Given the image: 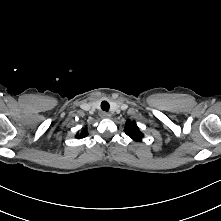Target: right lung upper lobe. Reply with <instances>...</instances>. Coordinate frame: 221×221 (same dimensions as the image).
<instances>
[{
  "mask_svg": "<svg viewBox=\"0 0 221 221\" xmlns=\"http://www.w3.org/2000/svg\"><path fill=\"white\" fill-rule=\"evenodd\" d=\"M87 135H88V133H87V130H86V129H83L80 134L77 133V136H78L79 138H84V137H86Z\"/></svg>",
  "mask_w": 221,
  "mask_h": 221,
  "instance_id": "1",
  "label": "right lung upper lobe"
}]
</instances>
